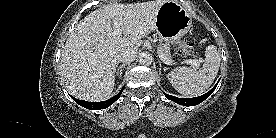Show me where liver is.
Masks as SVG:
<instances>
[{"mask_svg":"<svg viewBox=\"0 0 276 138\" xmlns=\"http://www.w3.org/2000/svg\"><path fill=\"white\" fill-rule=\"evenodd\" d=\"M167 0L104 5L84 17L70 33L60 62L66 89L79 99L103 101L115 84L118 55L138 50L155 29L160 6ZM122 28V35L114 31Z\"/></svg>","mask_w":276,"mask_h":138,"instance_id":"1","label":"liver"}]
</instances>
